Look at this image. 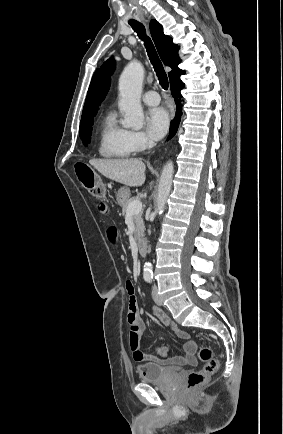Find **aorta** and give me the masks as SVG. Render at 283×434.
I'll return each mask as SVG.
<instances>
[{"label":"aorta","instance_id":"762f6f07","mask_svg":"<svg viewBox=\"0 0 283 434\" xmlns=\"http://www.w3.org/2000/svg\"><path fill=\"white\" fill-rule=\"evenodd\" d=\"M144 78V68L138 61H131L122 72L119 79V109L124 113L123 126L140 130L144 124V113L141 106V93ZM174 167L171 161L167 162L161 172L157 207L155 212L162 214L169 197ZM144 276H151L152 264L145 262Z\"/></svg>","mask_w":283,"mask_h":434}]
</instances>
